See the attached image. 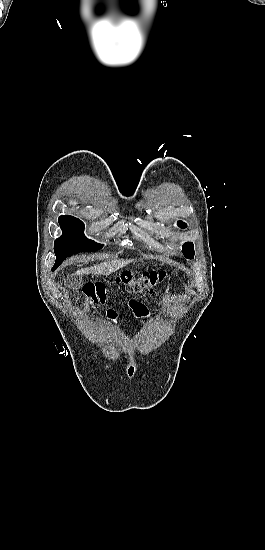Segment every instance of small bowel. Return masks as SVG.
Returning <instances> with one entry per match:
<instances>
[{
	"label": "small bowel",
	"instance_id": "small-bowel-1",
	"mask_svg": "<svg viewBox=\"0 0 265 550\" xmlns=\"http://www.w3.org/2000/svg\"><path fill=\"white\" fill-rule=\"evenodd\" d=\"M133 310L136 314H138L140 316H143L146 313L145 307L143 305H139V304H134L133 305Z\"/></svg>",
	"mask_w": 265,
	"mask_h": 550
}]
</instances>
